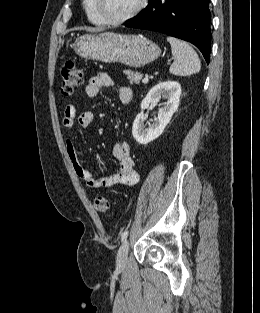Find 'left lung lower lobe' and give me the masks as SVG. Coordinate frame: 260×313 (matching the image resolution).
<instances>
[{"label":"left lung lower lobe","instance_id":"1","mask_svg":"<svg viewBox=\"0 0 260 313\" xmlns=\"http://www.w3.org/2000/svg\"><path fill=\"white\" fill-rule=\"evenodd\" d=\"M210 0H149L127 27L161 32L191 42L209 62Z\"/></svg>","mask_w":260,"mask_h":313}]
</instances>
